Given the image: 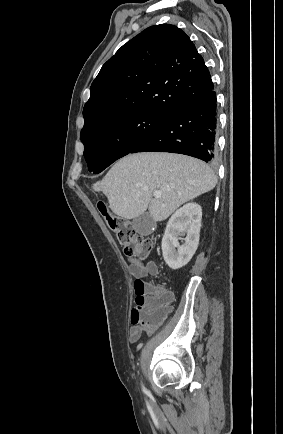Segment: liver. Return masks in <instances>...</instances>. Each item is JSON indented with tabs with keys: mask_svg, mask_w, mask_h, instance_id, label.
Listing matches in <instances>:
<instances>
[{
	"mask_svg": "<svg viewBox=\"0 0 283 434\" xmlns=\"http://www.w3.org/2000/svg\"><path fill=\"white\" fill-rule=\"evenodd\" d=\"M217 177L204 162L181 154H129L93 184L103 192L114 214L134 219L149 210L156 221L167 219L178 207L214 189ZM155 191L161 197L152 198Z\"/></svg>",
	"mask_w": 283,
	"mask_h": 434,
	"instance_id": "obj_1",
	"label": "liver"
}]
</instances>
